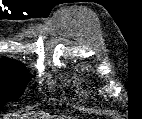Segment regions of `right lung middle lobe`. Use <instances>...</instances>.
I'll use <instances>...</instances> for the list:
<instances>
[{
  "mask_svg": "<svg viewBox=\"0 0 142 119\" xmlns=\"http://www.w3.org/2000/svg\"><path fill=\"white\" fill-rule=\"evenodd\" d=\"M28 74L25 68L0 69V109L5 103L18 99L25 90Z\"/></svg>",
  "mask_w": 142,
  "mask_h": 119,
  "instance_id": "obj_1",
  "label": "right lung middle lobe"
}]
</instances>
